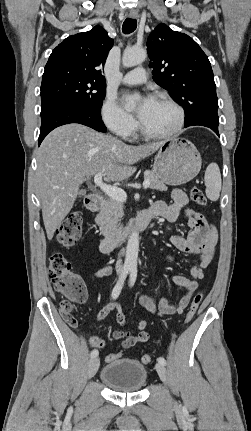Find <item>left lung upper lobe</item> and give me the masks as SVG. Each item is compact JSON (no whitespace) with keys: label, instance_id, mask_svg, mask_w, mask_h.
Segmentation results:
<instances>
[{"label":"left lung upper lobe","instance_id":"left-lung-upper-lobe-1","mask_svg":"<svg viewBox=\"0 0 251 431\" xmlns=\"http://www.w3.org/2000/svg\"><path fill=\"white\" fill-rule=\"evenodd\" d=\"M153 80L185 111V124L219 120L218 98L208 57L188 35L159 24L147 39Z\"/></svg>","mask_w":251,"mask_h":431}]
</instances>
